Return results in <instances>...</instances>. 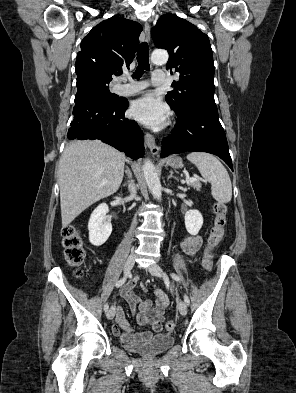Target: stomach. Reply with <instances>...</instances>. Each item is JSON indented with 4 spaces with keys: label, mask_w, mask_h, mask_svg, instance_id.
Wrapping results in <instances>:
<instances>
[{
    "label": "stomach",
    "mask_w": 296,
    "mask_h": 393,
    "mask_svg": "<svg viewBox=\"0 0 296 393\" xmlns=\"http://www.w3.org/2000/svg\"><path fill=\"white\" fill-rule=\"evenodd\" d=\"M167 164L172 167V168H182L183 167V161L180 157L177 156H172L167 160Z\"/></svg>",
    "instance_id": "0dacf381"
}]
</instances>
